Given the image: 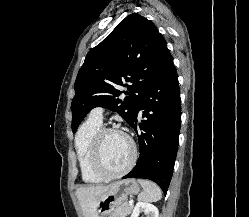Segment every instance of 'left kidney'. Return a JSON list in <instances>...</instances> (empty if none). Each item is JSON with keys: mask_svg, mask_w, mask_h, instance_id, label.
<instances>
[{"mask_svg": "<svg viewBox=\"0 0 249 217\" xmlns=\"http://www.w3.org/2000/svg\"><path fill=\"white\" fill-rule=\"evenodd\" d=\"M142 212L146 215V217H159L158 208L148 202H138L131 217H138Z\"/></svg>", "mask_w": 249, "mask_h": 217, "instance_id": "5707ae66", "label": "left kidney"}]
</instances>
